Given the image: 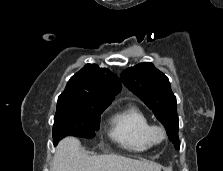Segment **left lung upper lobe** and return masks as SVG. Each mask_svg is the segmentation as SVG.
Listing matches in <instances>:
<instances>
[{"instance_id": "5c2ea615", "label": "left lung upper lobe", "mask_w": 223, "mask_h": 171, "mask_svg": "<svg viewBox=\"0 0 223 171\" xmlns=\"http://www.w3.org/2000/svg\"><path fill=\"white\" fill-rule=\"evenodd\" d=\"M121 80L153 111L165 126L169 140L178 149L177 104L168 78L152 63L144 62L124 70Z\"/></svg>"}]
</instances>
